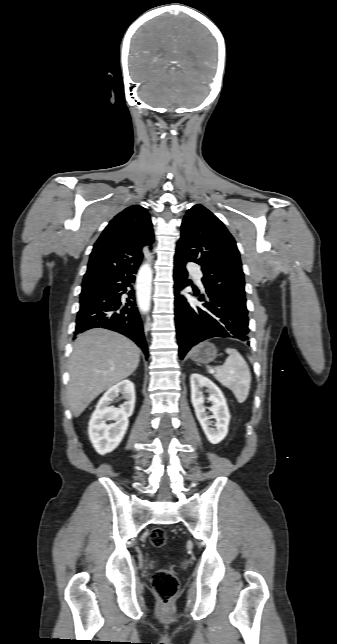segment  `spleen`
I'll list each match as a JSON object with an SVG mask.
<instances>
[{"mask_svg": "<svg viewBox=\"0 0 337 644\" xmlns=\"http://www.w3.org/2000/svg\"><path fill=\"white\" fill-rule=\"evenodd\" d=\"M229 355L222 366L208 367V371L225 387L230 389L239 403H243L251 384V373L248 364L241 354L233 348H226Z\"/></svg>", "mask_w": 337, "mask_h": 644, "instance_id": "obj_1", "label": "spleen"}]
</instances>
